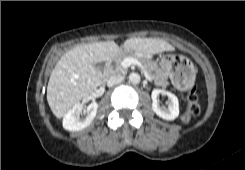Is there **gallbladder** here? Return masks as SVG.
Wrapping results in <instances>:
<instances>
[{"label": "gallbladder", "mask_w": 245, "mask_h": 170, "mask_svg": "<svg viewBox=\"0 0 245 170\" xmlns=\"http://www.w3.org/2000/svg\"><path fill=\"white\" fill-rule=\"evenodd\" d=\"M95 66L100 70H103L104 68V64L102 62L96 63Z\"/></svg>", "instance_id": "1"}]
</instances>
